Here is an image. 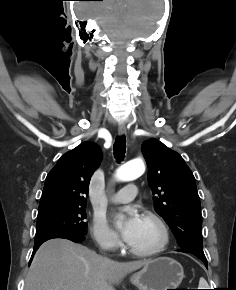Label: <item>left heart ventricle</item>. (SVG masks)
Masks as SVG:
<instances>
[{
	"instance_id": "left-heart-ventricle-1",
	"label": "left heart ventricle",
	"mask_w": 236,
	"mask_h": 290,
	"mask_svg": "<svg viewBox=\"0 0 236 290\" xmlns=\"http://www.w3.org/2000/svg\"><path fill=\"white\" fill-rule=\"evenodd\" d=\"M160 238L157 227L149 220L141 219V225L130 246L138 249H149L155 246Z\"/></svg>"
}]
</instances>
